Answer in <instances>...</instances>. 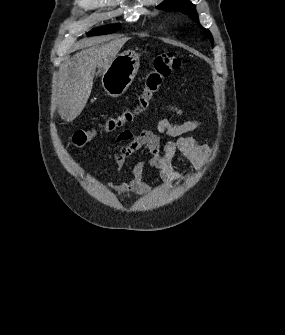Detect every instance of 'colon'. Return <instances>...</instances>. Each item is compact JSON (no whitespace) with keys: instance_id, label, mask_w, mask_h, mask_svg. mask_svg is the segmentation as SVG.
Listing matches in <instances>:
<instances>
[{"instance_id":"5ec220e1","label":"colon","mask_w":285,"mask_h":335,"mask_svg":"<svg viewBox=\"0 0 285 335\" xmlns=\"http://www.w3.org/2000/svg\"><path fill=\"white\" fill-rule=\"evenodd\" d=\"M180 66V59L173 53L163 52L156 55L152 68L146 76L144 88L138 95L136 104L116 116L106 118L98 128L75 131L72 136V144L77 148H81L89 143L99 130L111 132L132 122L138 114L148 108L153 96L159 90L164 80L170 77Z\"/></svg>"}]
</instances>
